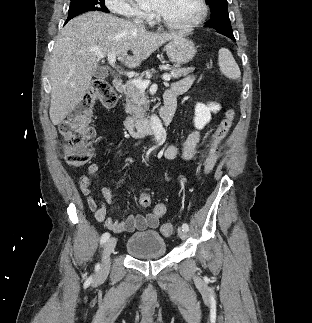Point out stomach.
<instances>
[{
  "mask_svg": "<svg viewBox=\"0 0 312 323\" xmlns=\"http://www.w3.org/2000/svg\"><path fill=\"white\" fill-rule=\"evenodd\" d=\"M167 56L170 62L174 64H187L193 60L196 54V46L192 40H188L185 36L171 40L166 46Z\"/></svg>",
  "mask_w": 312,
  "mask_h": 323,
  "instance_id": "0dacf381",
  "label": "stomach"
}]
</instances>
